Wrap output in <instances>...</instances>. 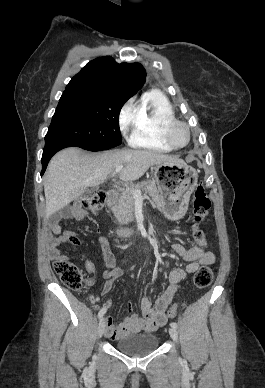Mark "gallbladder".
I'll return each instance as SVG.
<instances>
[{"label": "gallbladder", "mask_w": 265, "mask_h": 388, "mask_svg": "<svg viewBox=\"0 0 265 388\" xmlns=\"http://www.w3.org/2000/svg\"><path fill=\"white\" fill-rule=\"evenodd\" d=\"M94 190V188H92ZM97 190V188H95ZM91 190H86L85 194H83L82 198H86V194H90Z\"/></svg>", "instance_id": "gallbladder-1"}]
</instances>
